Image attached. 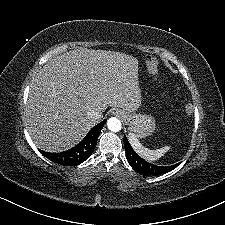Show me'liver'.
Wrapping results in <instances>:
<instances>
[{
    "instance_id": "6515ba94",
    "label": "liver",
    "mask_w": 225,
    "mask_h": 225,
    "mask_svg": "<svg viewBox=\"0 0 225 225\" xmlns=\"http://www.w3.org/2000/svg\"><path fill=\"white\" fill-rule=\"evenodd\" d=\"M141 97L135 57L76 49L51 58L36 73L24 122L38 148L58 153L81 141L108 106L134 112ZM91 109H99L101 116H88Z\"/></svg>"
}]
</instances>
